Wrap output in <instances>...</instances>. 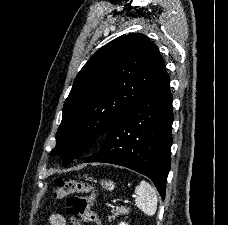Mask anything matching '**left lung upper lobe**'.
<instances>
[{"mask_svg":"<svg viewBox=\"0 0 228 225\" xmlns=\"http://www.w3.org/2000/svg\"><path fill=\"white\" fill-rule=\"evenodd\" d=\"M163 70L158 47L143 34L122 35L101 47L74 80L51 154L63 155L64 166L81 156Z\"/></svg>","mask_w":228,"mask_h":225,"instance_id":"obj_1","label":"left lung upper lobe"}]
</instances>
